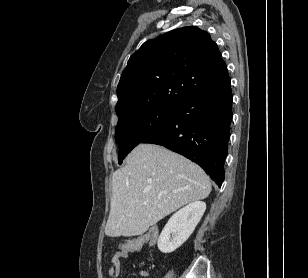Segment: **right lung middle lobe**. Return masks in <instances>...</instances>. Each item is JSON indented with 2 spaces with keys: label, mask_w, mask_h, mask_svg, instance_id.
I'll list each match as a JSON object with an SVG mask.
<instances>
[{
  "label": "right lung middle lobe",
  "mask_w": 308,
  "mask_h": 278,
  "mask_svg": "<svg viewBox=\"0 0 308 278\" xmlns=\"http://www.w3.org/2000/svg\"><path fill=\"white\" fill-rule=\"evenodd\" d=\"M178 114V106H155L134 112L118 121L116 141L120 145L118 162L139 143L172 122Z\"/></svg>",
  "instance_id": "right-lung-middle-lobe-1"
}]
</instances>
